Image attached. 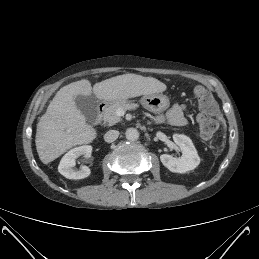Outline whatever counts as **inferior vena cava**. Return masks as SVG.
I'll return each instance as SVG.
<instances>
[{
  "mask_svg": "<svg viewBox=\"0 0 259 259\" xmlns=\"http://www.w3.org/2000/svg\"><path fill=\"white\" fill-rule=\"evenodd\" d=\"M119 136V131L117 130H109L104 134V140L105 142L111 143L115 141Z\"/></svg>",
  "mask_w": 259,
  "mask_h": 259,
  "instance_id": "obj_1",
  "label": "inferior vena cava"
}]
</instances>
